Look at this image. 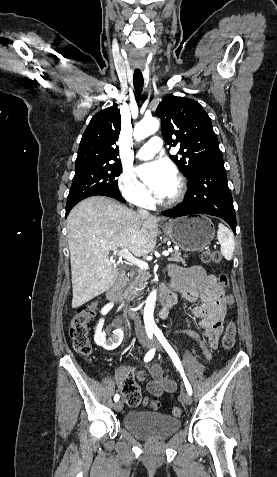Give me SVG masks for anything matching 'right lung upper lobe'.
Listing matches in <instances>:
<instances>
[{
  "instance_id": "1",
  "label": "right lung upper lobe",
  "mask_w": 277,
  "mask_h": 477,
  "mask_svg": "<svg viewBox=\"0 0 277 477\" xmlns=\"http://www.w3.org/2000/svg\"><path fill=\"white\" fill-rule=\"evenodd\" d=\"M121 130L120 111L116 105L99 111L90 120L78 149L75 167L98 163H120L116 147Z\"/></svg>"
}]
</instances>
